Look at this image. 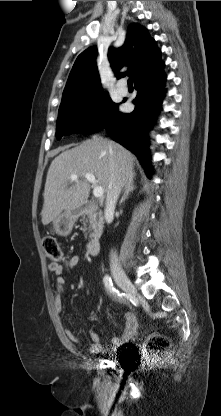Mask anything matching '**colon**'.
I'll use <instances>...</instances> for the list:
<instances>
[{"label": "colon", "mask_w": 221, "mask_h": 416, "mask_svg": "<svg viewBox=\"0 0 221 416\" xmlns=\"http://www.w3.org/2000/svg\"><path fill=\"white\" fill-rule=\"evenodd\" d=\"M42 244L46 256L51 262L58 263L62 260V249L55 238L45 237ZM168 347V340L160 335L151 337L146 344V348L153 353H163Z\"/></svg>", "instance_id": "5ec220e1"}]
</instances>
